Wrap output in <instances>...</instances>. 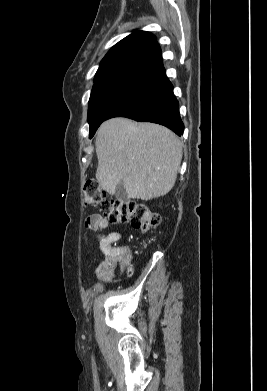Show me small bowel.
I'll use <instances>...</instances> for the list:
<instances>
[{
  "label": "small bowel",
  "mask_w": 267,
  "mask_h": 391,
  "mask_svg": "<svg viewBox=\"0 0 267 391\" xmlns=\"http://www.w3.org/2000/svg\"><path fill=\"white\" fill-rule=\"evenodd\" d=\"M86 226L92 231L107 230L111 225L102 216L98 214L90 215L86 220ZM122 235L118 231H111L108 235L100 240V250L104 255V260L97 266L96 275L104 281H112L116 277V266L120 264L121 259L129 255L130 248L127 244L114 246L121 239Z\"/></svg>",
  "instance_id": "1"
}]
</instances>
